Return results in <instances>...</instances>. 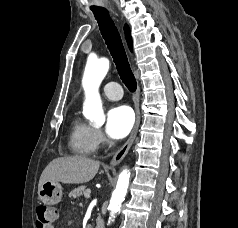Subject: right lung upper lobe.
<instances>
[{
  "mask_svg": "<svg viewBox=\"0 0 238 228\" xmlns=\"http://www.w3.org/2000/svg\"><path fill=\"white\" fill-rule=\"evenodd\" d=\"M124 29H125V37L127 39L128 46H129L130 50H132V39H131L130 30L127 25H125Z\"/></svg>",
  "mask_w": 238,
  "mask_h": 228,
  "instance_id": "cb5924a9",
  "label": "right lung upper lobe"
}]
</instances>
